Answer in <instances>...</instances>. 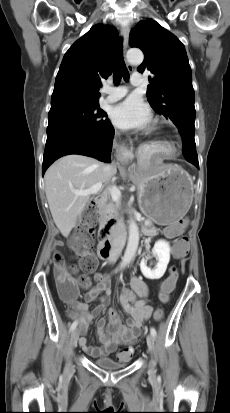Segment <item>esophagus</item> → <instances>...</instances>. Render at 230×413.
I'll return each mask as SVG.
<instances>
[{
  "label": "esophagus",
  "instance_id": "obj_1",
  "mask_svg": "<svg viewBox=\"0 0 230 413\" xmlns=\"http://www.w3.org/2000/svg\"><path fill=\"white\" fill-rule=\"evenodd\" d=\"M129 33H130V27L128 25H125L121 28V34H122V37H123L124 51L126 50V48L128 46ZM127 67H128L129 70H133V67L130 64H128ZM118 150H120V152H128L126 147H124V146H120Z\"/></svg>",
  "mask_w": 230,
  "mask_h": 413
}]
</instances>
